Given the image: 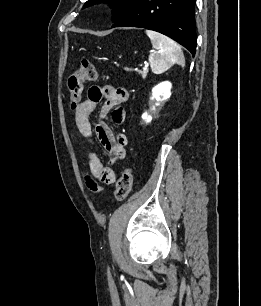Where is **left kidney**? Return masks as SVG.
<instances>
[{
  "label": "left kidney",
  "mask_w": 261,
  "mask_h": 306,
  "mask_svg": "<svg viewBox=\"0 0 261 306\" xmlns=\"http://www.w3.org/2000/svg\"><path fill=\"white\" fill-rule=\"evenodd\" d=\"M171 87L172 84L168 81L162 82L156 85L152 89V95L149 99V111L143 113L142 119L149 123L152 120V115H154L157 111V108L163 104L167 99L171 96Z\"/></svg>",
  "instance_id": "left-kidney-1"
}]
</instances>
